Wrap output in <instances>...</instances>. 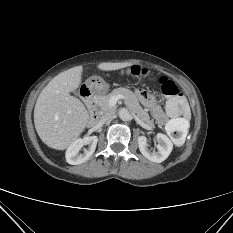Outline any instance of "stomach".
<instances>
[{
    "label": "stomach",
    "mask_w": 233,
    "mask_h": 233,
    "mask_svg": "<svg viewBox=\"0 0 233 233\" xmlns=\"http://www.w3.org/2000/svg\"><path fill=\"white\" fill-rule=\"evenodd\" d=\"M87 85L90 86L93 90L98 92H103L108 89L107 83L98 76H92L86 81Z\"/></svg>",
    "instance_id": "obj_1"
}]
</instances>
